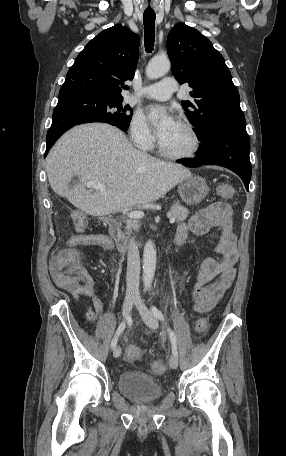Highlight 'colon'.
<instances>
[{
  "label": "colon",
  "mask_w": 286,
  "mask_h": 456,
  "mask_svg": "<svg viewBox=\"0 0 286 456\" xmlns=\"http://www.w3.org/2000/svg\"><path fill=\"white\" fill-rule=\"evenodd\" d=\"M217 193L222 197L233 196L235 191L233 186L221 184L217 187ZM74 225L78 231L86 228V220L81 215L74 217ZM52 269L54 272V280L58 286L69 291L78 290L85 282L86 271L80 264L79 253L72 247L68 246L61 250L52 260ZM208 321L205 318H200L195 323V330L199 334L207 331ZM142 357L140 349L129 350L126 352V360L130 363L139 361ZM153 372L156 375H161L165 372V364L160 361H154Z\"/></svg>",
  "instance_id": "5ec220e1"
}]
</instances>
